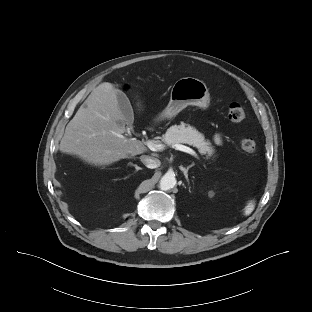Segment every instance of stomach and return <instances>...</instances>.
I'll use <instances>...</instances> for the list:
<instances>
[{
	"label": "stomach",
	"mask_w": 312,
	"mask_h": 312,
	"mask_svg": "<svg viewBox=\"0 0 312 312\" xmlns=\"http://www.w3.org/2000/svg\"><path fill=\"white\" fill-rule=\"evenodd\" d=\"M189 105L197 106L204 110L210 105V94L206 84L193 77L181 78L175 82L170 92V101L159 115V119L175 117Z\"/></svg>",
	"instance_id": "1"
}]
</instances>
